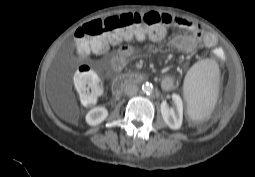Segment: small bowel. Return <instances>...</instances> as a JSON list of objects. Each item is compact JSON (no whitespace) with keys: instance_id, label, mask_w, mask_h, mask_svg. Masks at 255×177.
I'll use <instances>...</instances> for the list:
<instances>
[{"instance_id":"1","label":"small bowel","mask_w":255,"mask_h":177,"mask_svg":"<svg viewBox=\"0 0 255 177\" xmlns=\"http://www.w3.org/2000/svg\"><path fill=\"white\" fill-rule=\"evenodd\" d=\"M167 26H174L183 30L188 31L189 35H177L170 41V46L176 50L183 52H192L198 46L213 47L216 44V38L209 33H204L201 26L189 19L182 17L172 16L170 14H163ZM165 36V31L163 35L159 38L162 39ZM140 39H143L140 38ZM107 50V49H106ZM105 50V51H106ZM101 53V52H98ZM133 49L130 45H121L114 54L111 66L115 72H119L124 69L127 65L128 59L131 57ZM161 86L165 90H171L174 87V80L170 76H165L161 81Z\"/></svg>"}]
</instances>
